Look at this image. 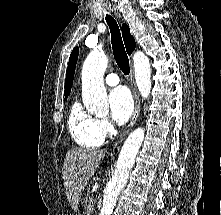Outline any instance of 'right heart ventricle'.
I'll return each instance as SVG.
<instances>
[{
	"label": "right heart ventricle",
	"instance_id": "e07e8e85",
	"mask_svg": "<svg viewBox=\"0 0 221 215\" xmlns=\"http://www.w3.org/2000/svg\"><path fill=\"white\" fill-rule=\"evenodd\" d=\"M68 127L73 140L80 146L98 147L103 142L96 131V119L84 111L78 101L70 108Z\"/></svg>",
	"mask_w": 221,
	"mask_h": 215
}]
</instances>
